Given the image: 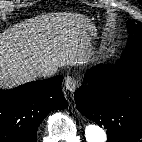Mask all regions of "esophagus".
Wrapping results in <instances>:
<instances>
[{"mask_svg":"<svg viewBox=\"0 0 142 142\" xmlns=\"http://www.w3.org/2000/svg\"><path fill=\"white\" fill-rule=\"evenodd\" d=\"M65 88L71 92H74L76 89L77 81L74 77L72 76H67L65 78Z\"/></svg>","mask_w":142,"mask_h":142,"instance_id":"1","label":"esophagus"}]
</instances>
